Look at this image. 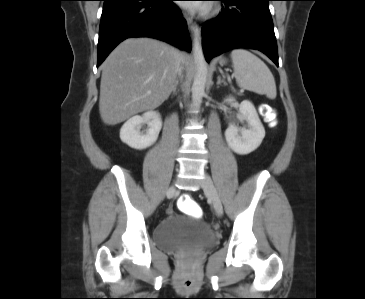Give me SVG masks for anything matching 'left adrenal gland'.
<instances>
[{
    "instance_id": "1",
    "label": "left adrenal gland",
    "mask_w": 365,
    "mask_h": 299,
    "mask_svg": "<svg viewBox=\"0 0 365 299\" xmlns=\"http://www.w3.org/2000/svg\"><path fill=\"white\" fill-rule=\"evenodd\" d=\"M221 83H223L224 85H227L226 84V82L225 81H223V80H221V77L219 76L218 78H217V87H219V85H221Z\"/></svg>"
}]
</instances>
